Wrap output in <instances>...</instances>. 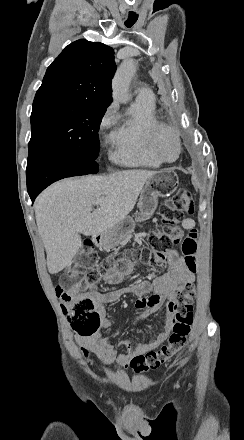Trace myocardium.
Instances as JSON below:
<instances>
[{
	"mask_svg": "<svg viewBox=\"0 0 244 440\" xmlns=\"http://www.w3.org/2000/svg\"><path fill=\"white\" fill-rule=\"evenodd\" d=\"M155 125L152 127L154 130L156 129L155 130L156 132L154 133V136H153V141H155V142H153L152 151H156L155 153H156L157 158L162 162H165V163L175 162L179 158V155L181 153L180 134L176 130H174L170 127H163L159 122H157ZM165 135H171L175 140V153L172 158L166 157L163 154V152L159 149V147L162 146V143H161L163 141L162 137H164Z\"/></svg>",
	"mask_w": 244,
	"mask_h": 440,
	"instance_id": "obj_1",
	"label": "myocardium"
}]
</instances>
